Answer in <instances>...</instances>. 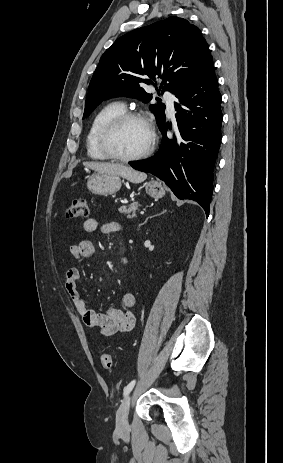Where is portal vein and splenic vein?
<instances>
[{"instance_id":"18ae733b","label":"portal vein and splenic vein","mask_w":283,"mask_h":463,"mask_svg":"<svg viewBox=\"0 0 283 463\" xmlns=\"http://www.w3.org/2000/svg\"><path fill=\"white\" fill-rule=\"evenodd\" d=\"M141 214L143 215V214H144V211H142Z\"/></svg>"}]
</instances>
